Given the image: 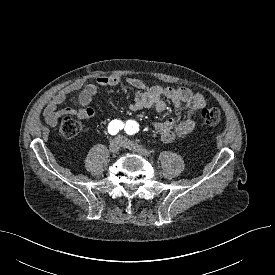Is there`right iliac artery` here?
Here are the masks:
<instances>
[{
	"label": "right iliac artery",
	"mask_w": 275,
	"mask_h": 275,
	"mask_svg": "<svg viewBox=\"0 0 275 275\" xmlns=\"http://www.w3.org/2000/svg\"><path fill=\"white\" fill-rule=\"evenodd\" d=\"M123 127L124 123L121 120H112L108 125V132L116 135Z\"/></svg>",
	"instance_id": "obj_1"
}]
</instances>
